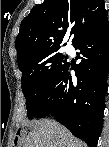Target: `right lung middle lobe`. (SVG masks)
<instances>
[{
	"instance_id": "dd1d6c3e",
	"label": "right lung middle lobe",
	"mask_w": 109,
	"mask_h": 147,
	"mask_svg": "<svg viewBox=\"0 0 109 147\" xmlns=\"http://www.w3.org/2000/svg\"><path fill=\"white\" fill-rule=\"evenodd\" d=\"M67 62L58 51L40 55L35 61L21 67L22 90L26 98L29 119L36 117L51 87L64 70Z\"/></svg>"
}]
</instances>
